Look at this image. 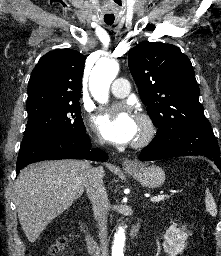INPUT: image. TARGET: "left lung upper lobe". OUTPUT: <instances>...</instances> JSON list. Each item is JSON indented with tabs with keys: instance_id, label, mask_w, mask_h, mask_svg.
<instances>
[{
	"instance_id": "obj_1",
	"label": "left lung upper lobe",
	"mask_w": 221,
	"mask_h": 256,
	"mask_svg": "<svg viewBox=\"0 0 221 256\" xmlns=\"http://www.w3.org/2000/svg\"><path fill=\"white\" fill-rule=\"evenodd\" d=\"M128 64L157 133L208 122L192 64L177 46L140 43L130 51Z\"/></svg>"
}]
</instances>
